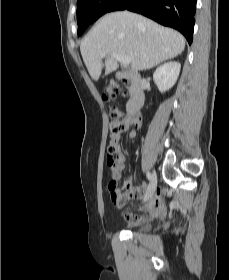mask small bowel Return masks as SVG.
Segmentation results:
<instances>
[{"mask_svg": "<svg viewBox=\"0 0 229 280\" xmlns=\"http://www.w3.org/2000/svg\"><path fill=\"white\" fill-rule=\"evenodd\" d=\"M134 137L135 132L130 131L129 139H133ZM125 159V154L121 151L115 159L112 177L108 184L109 194L113 204L123 210L131 199L142 201L137 207L139 214H133L123 210V214L131 226L137 225L144 220L164 216L166 208L162 199V192L159 189L150 192L145 183L136 186L131 177L125 180L121 188H118L117 185L116 187H112L113 181L117 183L120 179V173L124 168Z\"/></svg>", "mask_w": 229, "mask_h": 280, "instance_id": "c3829d8e", "label": "small bowel"}]
</instances>
